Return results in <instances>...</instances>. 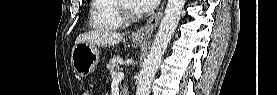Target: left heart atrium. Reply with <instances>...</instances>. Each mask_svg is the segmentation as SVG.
<instances>
[{
  "label": "left heart atrium",
  "mask_w": 277,
  "mask_h": 95,
  "mask_svg": "<svg viewBox=\"0 0 277 95\" xmlns=\"http://www.w3.org/2000/svg\"><path fill=\"white\" fill-rule=\"evenodd\" d=\"M159 2L160 0H136L139 9L143 11L153 10Z\"/></svg>",
  "instance_id": "left-heart-atrium-1"
}]
</instances>
